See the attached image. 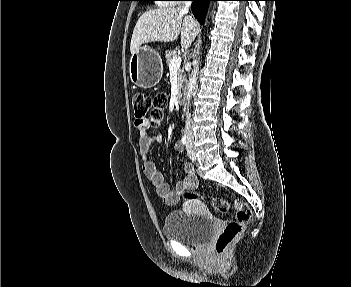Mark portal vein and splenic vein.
Returning a JSON list of instances; mask_svg holds the SVG:
<instances>
[{
  "mask_svg": "<svg viewBox=\"0 0 351 287\" xmlns=\"http://www.w3.org/2000/svg\"><path fill=\"white\" fill-rule=\"evenodd\" d=\"M181 57L178 56V57H174L169 65V68L170 69H178L181 65Z\"/></svg>",
  "mask_w": 351,
  "mask_h": 287,
  "instance_id": "1",
  "label": "portal vein and splenic vein"
}]
</instances>
